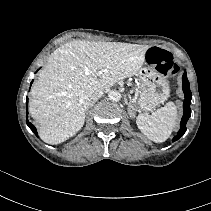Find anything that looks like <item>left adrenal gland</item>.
<instances>
[{
	"label": "left adrenal gland",
	"instance_id": "left-adrenal-gland-1",
	"mask_svg": "<svg viewBox=\"0 0 211 211\" xmlns=\"http://www.w3.org/2000/svg\"><path fill=\"white\" fill-rule=\"evenodd\" d=\"M128 98H129V102L127 103L128 104V113L130 116L134 115V107H133V104H132V99H131V96L128 95Z\"/></svg>",
	"mask_w": 211,
	"mask_h": 211
}]
</instances>
